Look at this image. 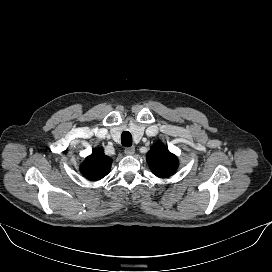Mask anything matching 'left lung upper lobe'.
I'll use <instances>...</instances> for the list:
<instances>
[{
    "mask_svg": "<svg viewBox=\"0 0 272 272\" xmlns=\"http://www.w3.org/2000/svg\"><path fill=\"white\" fill-rule=\"evenodd\" d=\"M147 161L152 172L160 178L169 177L178 168L177 157L170 153L164 144L160 142L150 148L147 154Z\"/></svg>",
    "mask_w": 272,
    "mask_h": 272,
    "instance_id": "5c2ea615",
    "label": "left lung upper lobe"
}]
</instances>
